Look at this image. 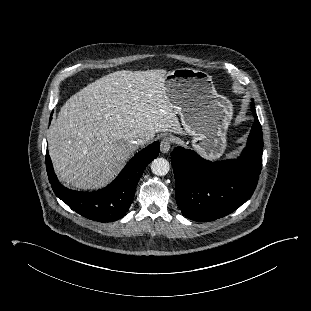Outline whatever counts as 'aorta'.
I'll list each match as a JSON object with an SVG mask.
<instances>
[{
	"label": "aorta",
	"mask_w": 311,
	"mask_h": 311,
	"mask_svg": "<svg viewBox=\"0 0 311 311\" xmlns=\"http://www.w3.org/2000/svg\"><path fill=\"white\" fill-rule=\"evenodd\" d=\"M169 162L164 158H156L151 163V170L155 175L164 176L169 172Z\"/></svg>",
	"instance_id": "1"
}]
</instances>
